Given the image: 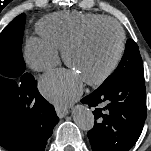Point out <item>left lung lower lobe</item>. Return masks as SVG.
Here are the masks:
<instances>
[{
	"label": "left lung lower lobe",
	"instance_id": "obj_1",
	"mask_svg": "<svg viewBox=\"0 0 151 151\" xmlns=\"http://www.w3.org/2000/svg\"><path fill=\"white\" fill-rule=\"evenodd\" d=\"M81 102L95 108V124L88 132L92 150L128 151L146 119L144 71H134L108 88L96 89Z\"/></svg>",
	"mask_w": 151,
	"mask_h": 151
}]
</instances>
